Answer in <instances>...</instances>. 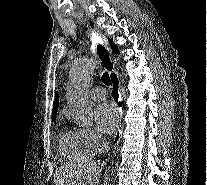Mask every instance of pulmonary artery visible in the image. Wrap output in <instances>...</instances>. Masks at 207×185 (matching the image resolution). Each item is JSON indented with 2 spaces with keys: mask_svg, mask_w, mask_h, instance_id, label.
Returning <instances> with one entry per match:
<instances>
[{
  "mask_svg": "<svg viewBox=\"0 0 207 185\" xmlns=\"http://www.w3.org/2000/svg\"><path fill=\"white\" fill-rule=\"evenodd\" d=\"M106 96H107V91L102 87H96L90 91V97L96 101L103 100L106 98Z\"/></svg>",
  "mask_w": 207,
  "mask_h": 185,
  "instance_id": "obj_1",
  "label": "pulmonary artery"
}]
</instances>
